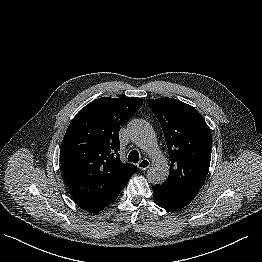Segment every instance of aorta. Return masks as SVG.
Listing matches in <instances>:
<instances>
[{
  "instance_id": "1",
  "label": "aorta",
  "mask_w": 262,
  "mask_h": 262,
  "mask_svg": "<svg viewBox=\"0 0 262 262\" xmlns=\"http://www.w3.org/2000/svg\"><path fill=\"white\" fill-rule=\"evenodd\" d=\"M128 131L131 140L152 159V165L147 172L149 183H164L169 175V165L158 146L153 128L147 122L136 119L130 122Z\"/></svg>"
}]
</instances>
